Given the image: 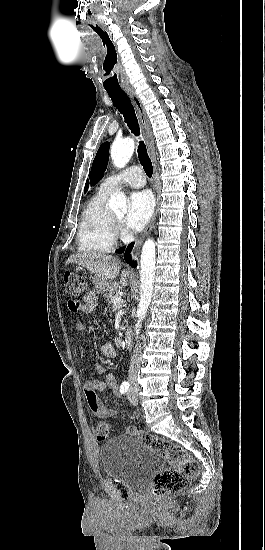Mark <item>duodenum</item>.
Here are the masks:
<instances>
[{"label":"duodenum","instance_id":"410a0bca","mask_svg":"<svg viewBox=\"0 0 265 550\" xmlns=\"http://www.w3.org/2000/svg\"><path fill=\"white\" fill-rule=\"evenodd\" d=\"M124 344L126 348L128 349L132 348V345H133L132 333L128 330L125 331L124 333Z\"/></svg>","mask_w":265,"mask_h":550}]
</instances>
